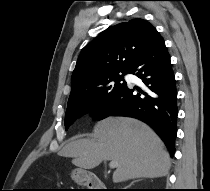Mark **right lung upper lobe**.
Returning <instances> with one entry per match:
<instances>
[{"instance_id":"right-lung-upper-lobe-1","label":"right lung upper lobe","mask_w":210,"mask_h":191,"mask_svg":"<svg viewBox=\"0 0 210 191\" xmlns=\"http://www.w3.org/2000/svg\"><path fill=\"white\" fill-rule=\"evenodd\" d=\"M158 36L152 24L139 18L101 32L80 53L72 74L69 99L86 92L108 73L130 70L132 63Z\"/></svg>"}]
</instances>
